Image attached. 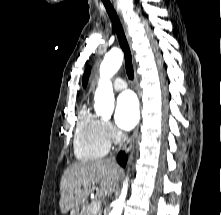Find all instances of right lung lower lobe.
Segmentation results:
<instances>
[{"label": "right lung lower lobe", "instance_id": "1", "mask_svg": "<svg viewBox=\"0 0 221 215\" xmlns=\"http://www.w3.org/2000/svg\"><path fill=\"white\" fill-rule=\"evenodd\" d=\"M126 160H127V157H126L125 152H121L117 157L118 163L123 167H125L126 165Z\"/></svg>", "mask_w": 221, "mask_h": 215}]
</instances>
